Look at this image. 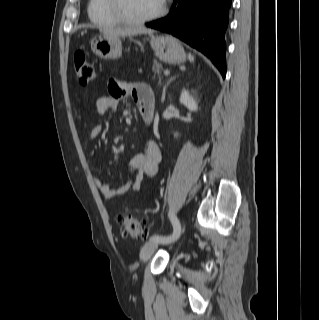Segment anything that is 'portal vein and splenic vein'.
<instances>
[{
	"mask_svg": "<svg viewBox=\"0 0 319 320\" xmlns=\"http://www.w3.org/2000/svg\"><path fill=\"white\" fill-rule=\"evenodd\" d=\"M164 74H165L166 76H168V75L170 74V71H169V70H165V71H164Z\"/></svg>",
	"mask_w": 319,
	"mask_h": 320,
	"instance_id": "obj_1",
	"label": "portal vein and splenic vein"
}]
</instances>
